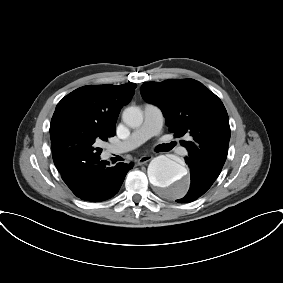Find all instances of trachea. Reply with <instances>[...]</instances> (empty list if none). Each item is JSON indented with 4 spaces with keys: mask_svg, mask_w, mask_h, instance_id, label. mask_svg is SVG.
<instances>
[{
    "mask_svg": "<svg viewBox=\"0 0 283 283\" xmlns=\"http://www.w3.org/2000/svg\"><path fill=\"white\" fill-rule=\"evenodd\" d=\"M174 145H175L174 143H169V144H164L163 147L165 151H169L174 147Z\"/></svg>",
    "mask_w": 283,
    "mask_h": 283,
    "instance_id": "obj_1",
    "label": "trachea"
}]
</instances>
